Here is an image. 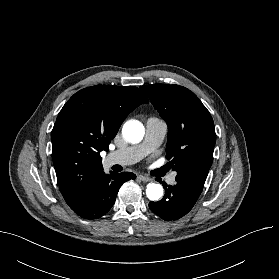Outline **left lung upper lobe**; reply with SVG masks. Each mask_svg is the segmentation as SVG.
Masks as SVG:
<instances>
[{
    "mask_svg": "<svg viewBox=\"0 0 279 279\" xmlns=\"http://www.w3.org/2000/svg\"><path fill=\"white\" fill-rule=\"evenodd\" d=\"M140 89L168 125L166 156L176 181L202 190L213 161V119L200 99L179 85L152 84Z\"/></svg>",
    "mask_w": 279,
    "mask_h": 279,
    "instance_id": "obj_1",
    "label": "left lung upper lobe"
}]
</instances>
